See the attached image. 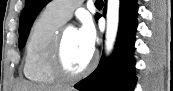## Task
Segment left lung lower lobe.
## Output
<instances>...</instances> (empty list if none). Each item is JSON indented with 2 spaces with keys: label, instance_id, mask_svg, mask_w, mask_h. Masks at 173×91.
<instances>
[{
  "label": "left lung lower lobe",
  "instance_id": "left-lung-lower-lobe-1",
  "mask_svg": "<svg viewBox=\"0 0 173 91\" xmlns=\"http://www.w3.org/2000/svg\"><path fill=\"white\" fill-rule=\"evenodd\" d=\"M136 0H121L119 31L115 50L109 59L101 58L98 67L74 87L80 91H133L136 77L133 58L137 27ZM106 6L103 10L105 16Z\"/></svg>",
  "mask_w": 173,
  "mask_h": 91
}]
</instances>
